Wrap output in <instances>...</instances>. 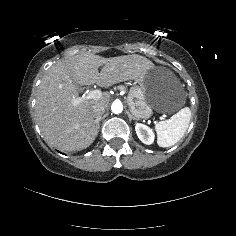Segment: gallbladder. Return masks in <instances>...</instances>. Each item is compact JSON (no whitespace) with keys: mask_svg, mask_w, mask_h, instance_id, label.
I'll return each mask as SVG.
<instances>
[{"mask_svg":"<svg viewBox=\"0 0 236 236\" xmlns=\"http://www.w3.org/2000/svg\"><path fill=\"white\" fill-rule=\"evenodd\" d=\"M67 79H69L71 81L72 85H74L76 87H81V83H80L79 79L72 76L71 74L68 73Z\"/></svg>","mask_w":236,"mask_h":236,"instance_id":"obj_1","label":"gallbladder"}]
</instances>
